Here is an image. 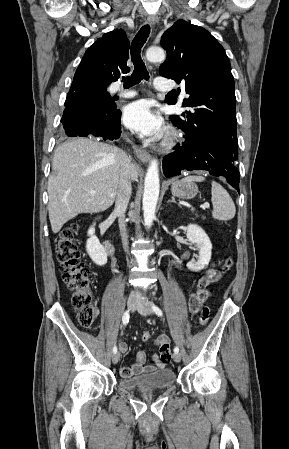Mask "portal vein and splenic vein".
I'll return each instance as SVG.
<instances>
[{"label": "portal vein and splenic vein", "mask_w": 289, "mask_h": 449, "mask_svg": "<svg viewBox=\"0 0 289 449\" xmlns=\"http://www.w3.org/2000/svg\"><path fill=\"white\" fill-rule=\"evenodd\" d=\"M90 194H91V195H94V194H95V191H90ZM209 206H210V205H209V203H207V202L204 203V204H202V208H203V209L209 208Z\"/></svg>", "instance_id": "obj_1"}]
</instances>
